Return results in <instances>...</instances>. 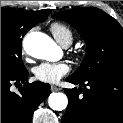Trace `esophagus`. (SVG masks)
I'll use <instances>...</instances> for the list:
<instances>
[{
	"mask_svg": "<svg viewBox=\"0 0 123 123\" xmlns=\"http://www.w3.org/2000/svg\"><path fill=\"white\" fill-rule=\"evenodd\" d=\"M60 88L59 87H57V86H54V85H51L50 86V90L51 91H58Z\"/></svg>",
	"mask_w": 123,
	"mask_h": 123,
	"instance_id": "esophagus-1",
	"label": "esophagus"
}]
</instances>
